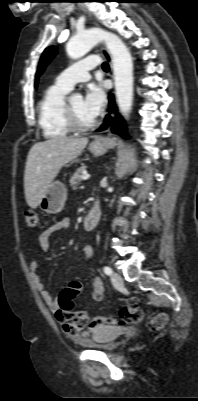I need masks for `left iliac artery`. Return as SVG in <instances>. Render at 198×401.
Segmentation results:
<instances>
[{"mask_svg":"<svg viewBox=\"0 0 198 401\" xmlns=\"http://www.w3.org/2000/svg\"><path fill=\"white\" fill-rule=\"evenodd\" d=\"M103 270H104V273H105L106 275H111V274H112V269H111L110 267H108V266H105V267L103 268Z\"/></svg>","mask_w":198,"mask_h":401,"instance_id":"obj_1","label":"left iliac artery"}]
</instances>
